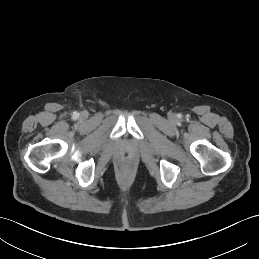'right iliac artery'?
Here are the masks:
<instances>
[{
    "instance_id": "obj_1",
    "label": "right iliac artery",
    "mask_w": 259,
    "mask_h": 259,
    "mask_svg": "<svg viewBox=\"0 0 259 259\" xmlns=\"http://www.w3.org/2000/svg\"><path fill=\"white\" fill-rule=\"evenodd\" d=\"M77 117H78V113H77V112H74L73 118L76 119Z\"/></svg>"
}]
</instances>
